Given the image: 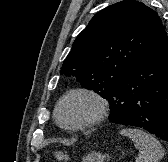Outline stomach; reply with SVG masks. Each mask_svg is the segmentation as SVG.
Returning <instances> with one entry per match:
<instances>
[{"instance_id": "1", "label": "stomach", "mask_w": 168, "mask_h": 162, "mask_svg": "<svg viewBox=\"0 0 168 162\" xmlns=\"http://www.w3.org/2000/svg\"><path fill=\"white\" fill-rule=\"evenodd\" d=\"M108 155H102L101 153L92 152L85 156L82 162H104Z\"/></svg>"}]
</instances>
